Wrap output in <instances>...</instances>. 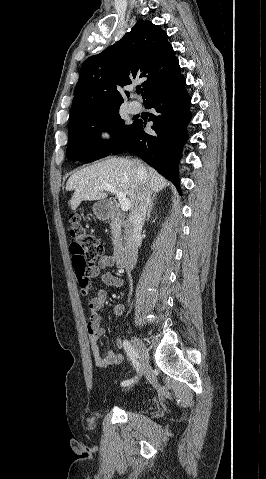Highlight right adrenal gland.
Segmentation results:
<instances>
[{
    "mask_svg": "<svg viewBox=\"0 0 266 479\" xmlns=\"http://www.w3.org/2000/svg\"><path fill=\"white\" fill-rule=\"evenodd\" d=\"M154 197L151 199L150 201V204H149V208H148V212H147V217H146V221H149L150 219V215H151V211L153 209V206H154Z\"/></svg>",
    "mask_w": 266,
    "mask_h": 479,
    "instance_id": "right-adrenal-gland-1",
    "label": "right adrenal gland"
}]
</instances>
